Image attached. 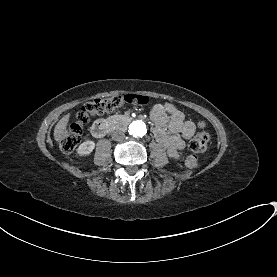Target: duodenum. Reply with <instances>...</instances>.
Instances as JSON below:
<instances>
[{
    "instance_id": "1",
    "label": "duodenum",
    "mask_w": 277,
    "mask_h": 277,
    "mask_svg": "<svg viewBox=\"0 0 277 277\" xmlns=\"http://www.w3.org/2000/svg\"><path fill=\"white\" fill-rule=\"evenodd\" d=\"M131 121L130 117H121L114 120H99L94 123L92 133L95 137H104L110 130L124 126Z\"/></svg>"
}]
</instances>
